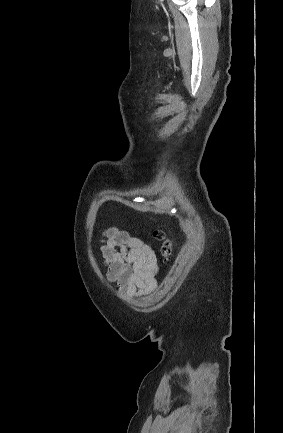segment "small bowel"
<instances>
[{
	"label": "small bowel",
	"mask_w": 283,
	"mask_h": 433,
	"mask_svg": "<svg viewBox=\"0 0 283 433\" xmlns=\"http://www.w3.org/2000/svg\"><path fill=\"white\" fill-rule=\"evenodd\" d=\"M101 254L110 282L127 298H135L156 287L158 262L154 251L141 239L117 228L104 231Z\"/></svg>",
	"instance_id": "obj_1"
}]
</instances>
